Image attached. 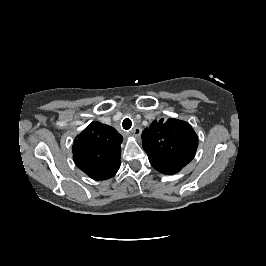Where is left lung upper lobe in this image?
I'll return each instance as SVG.
<instances>
[{"label": "left lung upper lobe", "mask_w": 266, "mask_h": 266, "mask_svg": "<svg viewBox=\"0 0 266 266\" xmlns=\"http://www.w3.org/2000/svg\"><path fill=\"white\" fill-rule=\"evenodd\" d=\"M142 146L151 165L163 174H175L195 156L198 138L191 125L178 119L154 121L142 133Z\"/></svg>", "instance_id": "obj_1"}]
</instances>
